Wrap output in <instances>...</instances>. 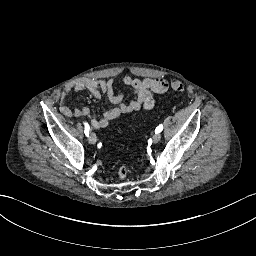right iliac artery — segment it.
<instances>
[{"label": "right iliac artery", "instance_id": "right-iliac-artery-1", "mask_svg": "<svg viewBox=\"0 0 256 256\" xmlns=\"http://www.w3.org/2000/svg\"><path fill=\"white\" fill-rule=\"evenodd\" d=\"M89 131H90L89 125H88V123H85V131H84V133H85L86 136H89Z\"/></svg>", "mask_w": 256, "mask_h": 256}]
</instances>
